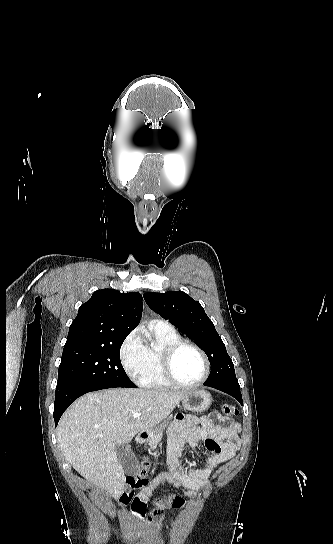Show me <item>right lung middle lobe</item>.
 I'll use <instances>...</instances> for the list:
<instances>
[{"instance_id":"right-lung-middle-lobe-1","label":"right lung middle lobe","mask_w":333,"mask_h":544,"mask_svg":"<svg viewBox=\"0 0 333 544\" xmlns=\"http://www.w3.org/2000/svg\"><path fill=\"white\" fill-rule=\"evenodd\" d=\"M125 338L118 337L106 344L64 349L57 385L135 388L136 385L128 378L120 361V348Z\"/></svg>"}]
</instances>
